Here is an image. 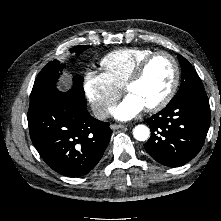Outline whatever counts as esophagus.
I'll return each mask as SVG.
<instances>
[{
	"instance_id": "obj_1",
	"label": "esophagus",
	"mask_w": 221,
	"mask_h": 221,
	"mask_svg": "<svg viewBox=\"0 0 221 221\" xmlns=\"http://www.w3.org/2000/svg\"><path fill=\"white\" fill-rule=\"evenodd\" d=\"M125 127H126V125H122V124H111L110 125V128L112 130H116V129H120V128H125Z\"/></svg>"
}]
</instances>
